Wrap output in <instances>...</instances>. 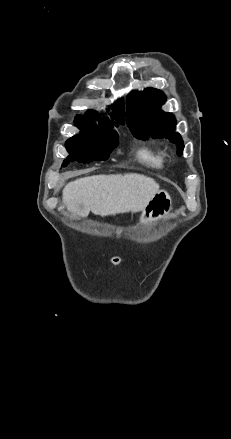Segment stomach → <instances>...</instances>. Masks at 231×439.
Instances as JSON below:
<instances>
[{"instance_id":"0dacf381","label":"stomach","mask_w":231,"mask_h":439,"mask_svg":"<svg viewBox=\"0 0 231 439\" xmlns=\"http://www.w3.org/2000/svg\"><path fill=\"white\" fill-rule=\"evenodd\" d=\"M172 208L171 197L165 190H159L148 202L140 217V222L158 221L165 218Z\"/></svg>"}]
</instances>
